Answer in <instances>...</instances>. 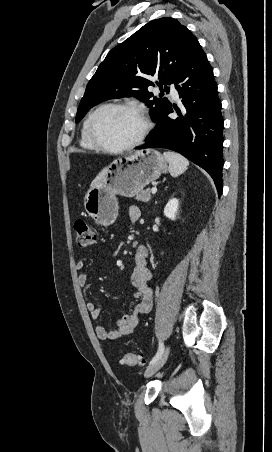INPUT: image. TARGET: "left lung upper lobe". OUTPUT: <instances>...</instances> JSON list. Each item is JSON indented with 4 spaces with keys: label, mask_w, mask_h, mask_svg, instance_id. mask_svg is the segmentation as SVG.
I'll return each mask as SVG.
<instances>
[{
    "label": "left lung upper lobe",
    "mask_w": 272,
    "mask_h": 452,
    "mask_svg": "<svg viewBox=\"0 0 272 452\" xmlns=\"http://www.w3.org/2000/svg\"><path fill=\"white\" fill-rule=\"evenodd\" d=\"M197 38L177 20L164 17L153 20L123 43L112 49L87 84L79 104L76 122L93 106L112 98L136 97L151 108L156 121L170 103L167 98L148 92L153 76L160 80L161 91L169 92L187 61Z\"/></svg>",
    "instance_id": "obj_1"
}]
</instances>
